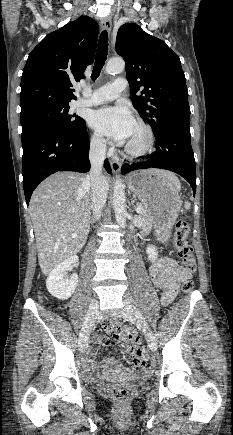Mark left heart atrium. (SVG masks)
<instances>
[{"label": "left heart atrium", "mask_w": 233, "mask_h": 435, "mask_svg": "<svg viewBox=\"0 0 233 435\" xmlns=\"http://www.w3.org/2000/svg\"><path fill=\"white\" fill-rule=\"evenodd\" d=\"M91 125L117 144H123L129 137L134 119L124 103L95 110L90 115Z\"/></svg>", "instance_id": "39dd6f15"}]
</instances>
